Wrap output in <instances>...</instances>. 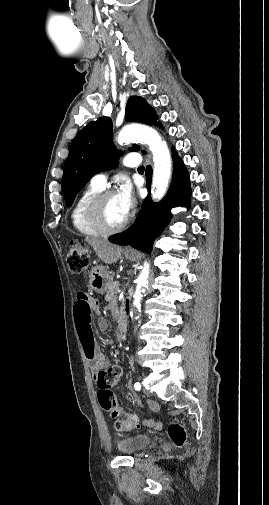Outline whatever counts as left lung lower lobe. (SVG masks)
I'll return each instance as SVG.
<instances>
[{
    "instance_id": "left-lung-lower-lobe-1",
    "label": "left lung lower lobe",
    "mask_w": 269,
    "mask_h": 505,
    "mask_svg": "<svg viewBox=\"0 0 269 505\" xmlns=\"http://www.w3.org/2000/svg\"><path fill=\"white\" fill-rule=\"evenodd\" d=\"M174 172L171 186L166 196L153 203L150 194L144 200L135 223L123 233L110 239L119 245H130L143 252H151L154 240L162 233L171 220V209L177 205L189 206L191 188L184 163L173 152ZM151 166L146 167L147 188L150 192Z\"/></svg>"
}]
</instances>
